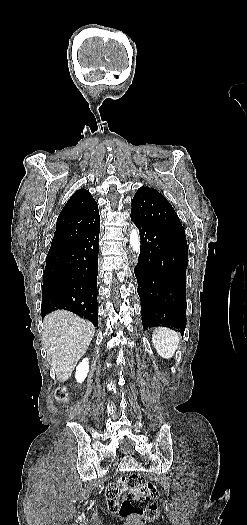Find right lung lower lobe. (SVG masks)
<instances>
[{
    "mask_svg": "<svg viewBox=\"0 0 247 525\" xmlns=\"http://www.w3.org/2000/svg\"><path fill=\"white\" fill-rule=\"evenodd\" d=\"M99 232L100 226L63 249L48 253L42 285V318L54 310L65 309L98 326Z\"/></svg>",
    "mask_w": 247,
    "mask_h": 525,
    "instance_id": "obj_1",
    "label": "right lung lower lobe"
}]
</instances>
